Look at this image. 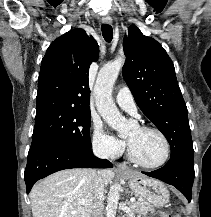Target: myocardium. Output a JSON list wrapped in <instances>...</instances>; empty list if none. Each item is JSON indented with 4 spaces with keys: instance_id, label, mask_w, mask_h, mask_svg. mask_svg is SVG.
<instances>
[{
    "instance_id": "1",
    "label": "myocardium",
    "mask_w": 211,
    "mask_h": 217,
    "mask_svg": "<svg viewBox=\"0 0 211 217\" xmlns=\"http://www.w3.org/2000/svg\"><path fill=\"white\" fill-rule=\"evenodd\" d=\"M141 131H152L157 133L163 140L164 145H165V155L163 157V159L156 163V164H147L142 162L133 152L130 143L128 142L127 145V154H128V158L130 159L131 162H133L134 164H136L139 167L145 168V169H157L162 167L163 165H165L167 163V161L170 158V154H171V147H170V143L169 140L167 138V136L158 128L154 127V126H148V125H142L138 127Z\"/></svg>"
}]
</instances>
